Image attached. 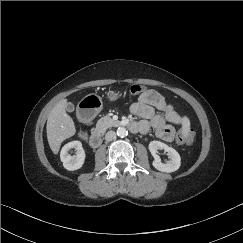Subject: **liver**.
I'll list each match as a JSON object with an SVG mask.
<instances>
[{"label":"liver","instance_id":"liver-1","mask_svg":"<svg viewBox=\"0 0 243 243\" xmlns=\"http://www.w3.org/2000/svg\"><path fill=\"white\" fill-rule=\"evenodd\" d=\"M67 100H60L50 111L47 119V139L50 149L58 154L61 143L76 133L73 119L66 113Z\"/></svg>","mask_w":243,"mask_h":243}]
</instances>
